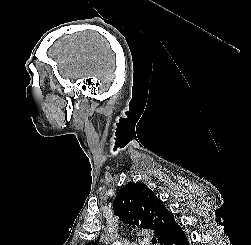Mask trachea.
I'll list each match as a JSON object with an SVG mask.
<instances>
[{"label": "trachea", "instance_id": "trachea-1", "mask_svg": "<svg viewBox=\"0 0 251 245\" xmlns=\"http://www.w3.org/2000/svg\"><path fill=\"white\" fill-rule=\"evenodd\" d=\"M152 244H153V245L156 244V238H155V237L152 238Z\"/></svg>", "mask_w": 251, "mask_h": 245}]
</instances>
